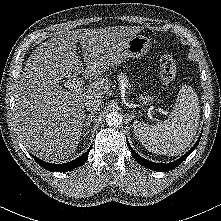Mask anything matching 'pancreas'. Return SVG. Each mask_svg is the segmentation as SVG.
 <instances>
[{
  "instance_id": "pancreas-1",
  "label": "pancreas",
  "mask_w": 221,
  "mask_h": 221,
  "mask_svg": "<svg viewBox=\"0 0 221 221\" xmlns=\"http://www.w3.org/2000/svg\"><path fill=\"white\" fill-rule=\"evenodd\" d=\"M122 78L125 81V84L127 85V88H130L127 76L123 75Z\"/></svg>"
}]
</instances>
